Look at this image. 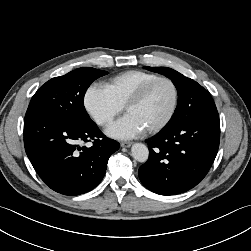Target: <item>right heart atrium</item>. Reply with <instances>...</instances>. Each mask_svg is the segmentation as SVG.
Masks as SVG:
<instances>
[{
    "label": "right heart atrium",
    "instance_id": "d8ad5b80",
    "mask_svg": "<svg viewBox=\"0 0 251 251\" xmlns=\"http://www.w3.org/2000/svg\"><path fill=\"white\" fill-rule=\"evenodd\" d=\"M83 103L86 112L101 127L110 126L123 110L106 88L97 84L86 89Z\"/></svg>",
    "mask_w": 251,
    "mask_h": 251
}]
</instances>
